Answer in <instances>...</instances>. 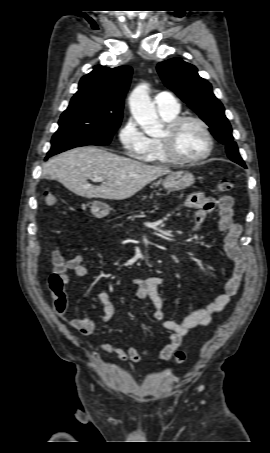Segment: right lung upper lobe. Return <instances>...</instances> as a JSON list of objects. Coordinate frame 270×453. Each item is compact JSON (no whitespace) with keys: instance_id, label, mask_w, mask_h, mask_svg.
Listing matches in <instances>:
<instances>
[{"instance_id":"cb5924a9","label":"right lung upper lobe","mask_w":270,"mask_h":453,"mask_svg":"<svg viewBox=\"0 0 270 453\" xmlns=\"http://www.w3.org/2000/svg\"><path fill=\"white\" fill-rule=\"evenodd\" d=\"M132 68L120 66L108 68L97 65L79 82L78 91L72 97L62 116L93 113L122 119L123 102L129 88Z\"/></svg>"}]
</instances>
